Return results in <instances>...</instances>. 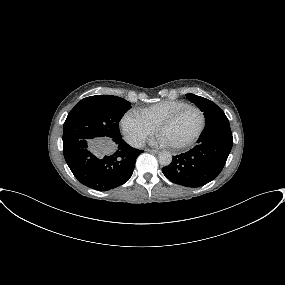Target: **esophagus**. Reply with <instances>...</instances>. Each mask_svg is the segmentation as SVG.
<instances>
[{
    "instance_id": "esophagus-1",
    "label": "esophagus",
    "mask_w": 285,
    "mask_h": 285,
    "mask_svg": "<svg viewBox=\"0 0 285 285\" xmlns=\"http://www.w3.org/2000/svg\"><path fill=\"white\" fill-rule=\"evenodd\" d=\"M146 151L151 152V153H158V150H154V149H146Z\"/></svg>"
}]
</instances>
